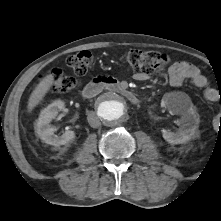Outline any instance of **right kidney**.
<instances>
[{
    "mask_svg": "<svg viewBox=\"0 0 221 221\" xmlns=\"http://www.w3.org/2000/svg\"><path fill=\"white\" fill-rule=\"evenodd\" d=\"M64 107V102L56 100L40 113L38 120L35 123V132L45 143L53 146L65 145L75 138L74 131L67 130L61 136L54 134L56 128L49 124L52 119L56 118L58 111Z\"/></svg>",
    "mask_w": 221,
    "mask_h": 221,
    "instance_id": "ca27d5eb",
    "label": "right kidney"
}]
</instances>
